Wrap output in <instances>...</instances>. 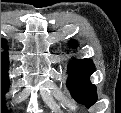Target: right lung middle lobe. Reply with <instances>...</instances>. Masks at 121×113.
Masks as SVG:
<instances>
[{"mask_svg":"<svg viewBox=\"0 0 121 113\" xmlns=\"http://www.w3.org/2000/svg\"><path fill=\"white\" fill-rule=\"evenodd\" d=\"M8 68L1 67V113L5 112L4 110V93L7 92L9 87V80H8Z\"/></svg>","mask_w":121,"mask_h":113,"instance_id":"dd1d6c3e","label":"right lung middle lobe"}]
</instances>
